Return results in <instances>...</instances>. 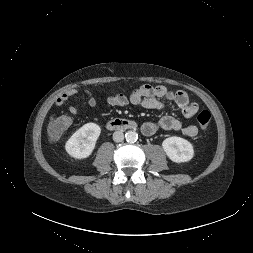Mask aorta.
Here are the masks:
<instances>
[{"label":"aorta","instance_id":"762f6f07","mask_svg":"<svg viewBox=\"0 0 253 253\" xmlns=\"http://www.w3.org/2000/svg\"><path fill=\"white\" fill-rule=\"evenodd\" d=\"M125 138L128 142H135L138 139V134L134 130H129L126 132Z\"/></svg>","mask_w":253,"mask_h":253}]
</instances>
